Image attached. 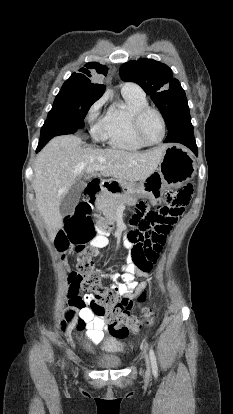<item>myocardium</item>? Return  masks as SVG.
I'll list each match as a JSON object with an SVG mask.
<instances>
[{
  "label": "myocardium",
  "mask_w": 233,
  "mask_h": 414,
  "mask_svg": "<svg viewBox=\"0 0 233 414\" xmlns=\"http://www.w3.org/2000/svg\"><path fill=\"white\" fill-rule=\"evenodd\" d=\"M151 112H153V113H155V114L158 115V117L161 120V124H162V135H161V138L158 141H155V142L149 141L145 137V135L143 134V131H142V121H143V118L148 113H151ZM133 129H134V132L137 135V137L143 143H145L147 145H157V144L161 143L163 141V139L165 138V136H166L167 124H166V120H165L164 115L162 114V112L159 109H157L155 107H151V106H146V107H143V108L139 109L134 114V117H133Z\"/></svg>",
  "instance_id": "myocardium-1"
}]
</instances>
